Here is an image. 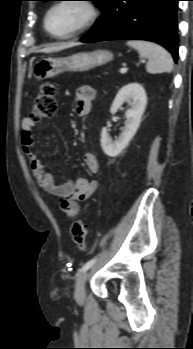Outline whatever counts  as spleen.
<instances>
[{"label":"spleen","mask_w":193,"mask_h":349,"mask_svg":"<svg viewBox=\"0 0 193 349\" xmlns=\"http://www.w3.org/2000/svg\"><path fill=\"white\" fill-rule=\"evenodd\" d=\"M127 45L135 48L141 57L148 58L146 70L149 73H171L174 68L172 56L156 43L143 40H129Z\"/></svg>","instance_id":"spleen-1"}]
</instances>
